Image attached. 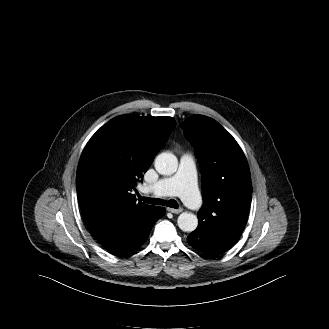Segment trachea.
I'll return each mask as SVG.
<instances>
[{"label": "trachea", "instance_id": "obj_1", "mask_svg": "<svg viewBox=\"0 0 329 329\" xmlns=\"http://www.w3.org/2000/svg\"><path fill=\"white\" fill-rule=\"evenodd\" d=\"M139 200L144 201L145 203L148 204H153V205H167L171 208H178V203L174 199H171L169 201L162 200L160 198H147V197H142L141 195L138 194Z\"/></svg>", "mask_w": 329, "mask_h": 329}]
</instances>
